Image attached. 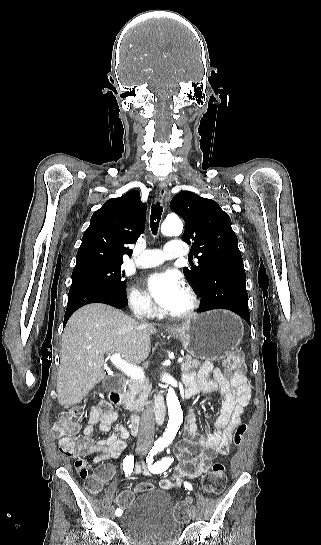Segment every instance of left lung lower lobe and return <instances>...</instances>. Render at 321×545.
Listing matches in <instances>:
<instances>
[{
	"instance_id": "left-lung-lower-lobe-1",
	"label": "left lung lower lobe",
	"mask_w": 321,
	"mask_h": 545,
	"mask_svg": "<svg viewBox=\"0 0 321 545\" xmlns=\"http://www.w3.org/2000/svg\"><path fill=\"white\" fill-rule=\"evenodd\" d=\"M246 274L243 260L226 262L211 269L197 287L201 302L198 312L227 309L241 316L250 325Z\"/></svg>"
}]
</instances>
